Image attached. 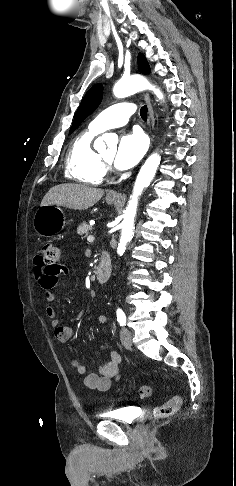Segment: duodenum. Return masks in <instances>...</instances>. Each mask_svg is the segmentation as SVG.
Masks as SVG:
<instances>
[{"instance_id":"1","label":"duodenum","mask_w":236,"mask_h":486,"mask_svg":"<svg viewBox=\"0 0 236 486\" xmlns=\"http://www.w3.org/2000/svg\"><path fill=\"white\" fill-rule=\"evenodd\" d=\"M112 266L109 254L107 252H103L101 255V259L99 264L96 268V278L100 284H104L108 281L111 276Z\"/></svg>"}]
</instances>
